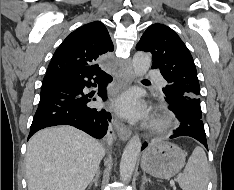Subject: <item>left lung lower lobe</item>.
Wrapping results in <instances>:
<instances>
[{
	"mask_svg": "<svg viewBox=\"0 0 234 190\" xmlns=\"http://www.w3.org/2000/svg\"><path fill=\"white\" fill-rule=\"evenodd\" d=\"M168 103L170 110L174 112L177 119L180 121V126L174 130V134L171 135L170 138H176L179 136L193 137L201 142L206 147V149H208L202 119L195 114L186 111L183 104L181 103ZM145 147H147V143L143 144L142 149Z\"/></svg>",
	"mask_w": 234,
	"mask_h": 190,
	"instance_id": "obj_1",
	"label": "left lung lower lobe"
}]
</instances>
